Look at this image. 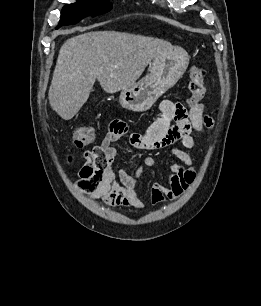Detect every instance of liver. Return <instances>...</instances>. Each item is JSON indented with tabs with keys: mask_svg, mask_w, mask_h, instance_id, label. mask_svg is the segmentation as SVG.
<instances>
[{
	"mask_svg": "<svg viewBox=\"0 0 261 306\" xmlns=\"http://www.w3.org/2000/svg\"><path fill=\"white\" fill-rule=\"evenodd\" d=\"M172 45L162 39L116 31H92L68 39L60 48L48 98L64 120L89 98L97 79L107 93L134 83L158 54Z\"/></svg>",
	"mask_w": 261,
	"mask_h": 306,
	"instance_id": "1",
	"label": "liver"
}]
</instances>
